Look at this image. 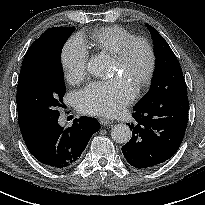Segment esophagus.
I'll use <instances>...</instances> for the list:
<instances>
[{
    "label": "esophagus",
    "instance_id": "esophagus-1",
    "mask_svg": "<svg viewBox=\"0 0 205 205\" xmlns=\"http://www.w3.org/2000/svg\"><path fill=\"white\" fill-rule=\"evenodd\" d=\"M98 121L102 126H107L113 123L112 121L104 119V118H99Z\"/></svg>",
    "mask_w": 205,
    "mask_h": 205
}]
</instances>
